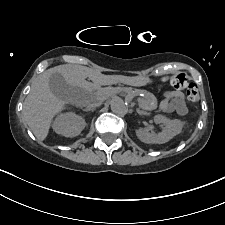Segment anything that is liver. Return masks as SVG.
<instances>
[{
  "label": "liver",
  "mask_w": 225,
  "mask_h": 225,
  "mask_svg": "<svg viewBox=\"0 0 225 225\" xmlns=\"http://www.w3.org/2000/svg\"><path fill=\"white\" fill-rule=\"evenodd\" d=\"M56 72L60 73L68 84L82 90L115 83V77L103 75L81 65H59L40 74L32 83L31 91L23 104L25 121L40 141L46 139L55 115L65 109L66 102L57 98L49 87V78ZM87 77L93 83L87 82Z\"/></svg>",
  "instance_id": "liver-1"
}]
</instances>
